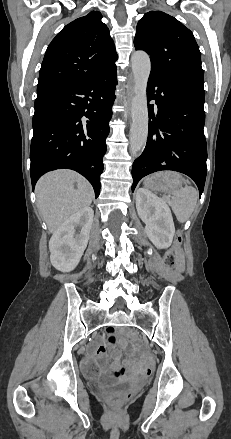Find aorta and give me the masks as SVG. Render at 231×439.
<instances>
[{
	"label": "aorta",
	"instance_id": "1",
	"mask_svg": "<svg viewBox=\"0 0 231 439\" xmlns=\"http://www.w3.org/2000/svg\"><path fill=\"white\" fill-rule=\"evenodd\" d=\"M134 76V96L131 104L130 151L136 155L143 151L148 136L147 82L151 62L147 53L136 51L131 57Z\"/></svg>",
	"mask_w": 231,
	"mask_h": 439
}]
</instances>
